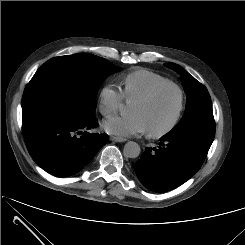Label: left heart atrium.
Listing matches in <instances>:
<instances>
[{"label":"left heart atrium","instance_id":"obj_1","mask_svg":"<svg viewBox=\"0 0 245 245\" xmlns=\"http://www.w3.org/2000/svg\"><path fill=\"white\" fill-rule=\"evenodd\" d=\"M103 127L107 132L120 136L141 134L147 130L141 116L135 113L110 117L104 121Z\"/></svg>","mask_w":245,"mask_h":245}]
</instances>
